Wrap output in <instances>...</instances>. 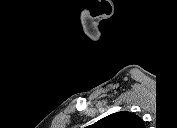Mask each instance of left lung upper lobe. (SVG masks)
Listing matches in <instances>:
<instances>
[{
  "label": "left lung upper lobe",
  "mask_w": 177,
  "mask_h": 128,
  "mask_svg": "<svg viewBox=\"0 0 177 128\" xmlns=\"http://www.w3.org/2000/svg\"><path fill=\"white\" fill-rule=\"evenodd\" d=\"M96 124L99 128H144L142 119L128 111L113 113Z\"/></svg>",
  "instance_id": "left-lung-upper-lobe-1"
}]
</instances>
